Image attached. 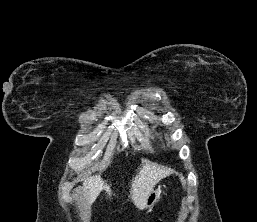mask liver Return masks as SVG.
<instances>
[{
	"instance_id": "6515ba94",
	"label": "liver",
	"mask_w": 257,
	"mask_h": 222,
	"mask_svg": "<svg viewBox=\"0 0 257 222\" xmlns=\"http://www.w3.org/2000/svg\"><path fill=\"white\" fill-rule=\"evenodd\" d=\"M172 170L159 167L155 164L142 163L138 174L133 178L130 198L134 205L143 210L149 193L154 189L155 185L163 178L169 176ZM104 190L108 196L112 195L110 185H108L100 175L92 176L84 180L83 191L87 199L89 207Z\"/></svg>"
}]
</instances>
